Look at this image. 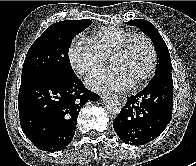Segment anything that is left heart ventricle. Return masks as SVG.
<instances>
[{
	"mask_svg": "<svg viewBox=\"0 0 196 166\" xmlns=\"http://www.w3.org/2000/svg\"><path fill=\"white\" fill-rule=\"evenodd\" d=\"M150 62L149 46L138 38L131 43L126 54L110 60V66L120 69L134 83L147 72Z\"/></svg>",
	"mask_w": 196,
	"mask_h": 166,
	"instance_id": "obj_1",
	"label": "left heart ventricle"
}]
</instances>
